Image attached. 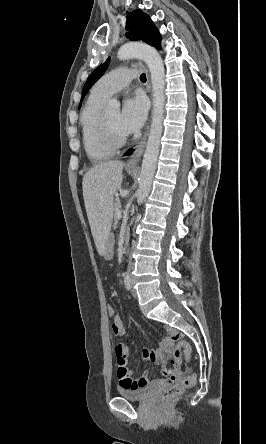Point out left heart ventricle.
Listing matches in <instances>:
<instances>
[{"mask_svg": "<svg viewBox=\"0 0 266 444\" xmlns=\"http://www.w3.org/2000/svg\"><path fill=\"white\" fill-rule=\"evenodd\" d=\"M119 117H120V114L118 111L106 112V118H107V122H108V125L110 128V131L117 138H120V137H123L126 135L119 125Z\"/></svg>", "mask_w": 266, "mask_h": 444, "instance_id": "b2bd125f", "label": "left heart ventricle"}]
</instances>
